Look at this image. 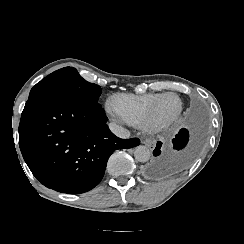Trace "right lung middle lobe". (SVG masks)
Masks as SVG:
<instances>
[{"instance_id":"dd1d6c3e","label":"right lung middle lobe","mask_w":244,"mask_h":244,"mask_svg":"<svg viewBox=\"0 0 244 244\" xmlns=\"http://www.w3.org/2000/svg\"><path fill=\"white\" fill-rule=\"evenodd\" d=\"M100 94V86L84 80L75 68L65 67L38 82L29 96L59 95L84 103H98Z\"/></svg>"}]
</instances>
